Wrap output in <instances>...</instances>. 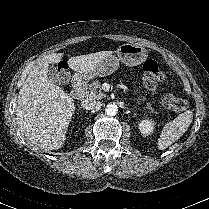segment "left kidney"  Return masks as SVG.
<instances>
[{
    "instance_id": "5707ae66",
    "label": "left kidney",
    "mask_w": 209,
    "mask_h": 209,
    "mask_svg": "<svg viewBox=\"0 0 209 209\" xmlns=\"http://www.w3.org/2000/svg\"><path fill=\"white\" fill-rule=\"evenodd\" d=\"M154 129V122L151 120H142L139 123V130L145 136L150 135Z\"/></svg>"
}]
</instances>
